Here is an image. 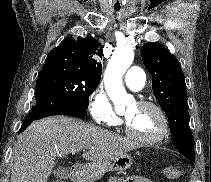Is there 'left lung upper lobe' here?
I'll list each match as a JSON object with an SVG mask.
<instances>
[{"label":"left lung upper lobe","mask_w":211,"mask_h":182,"mask_svg":"<svg viewBox=\"0 0 211 182\" xmlns=\"http://www.w3.org/2000/svg\"><path fill=\"white\" fill-rule=\"evenodd\" d=\"M141 55L144 66L152 75L153 93L168 117L172 142L194 163V138L189 126L187 91L180 63L157 42L145 43Z\"/></svg>","instance_id":"5c2ea615"}]
</instances>
